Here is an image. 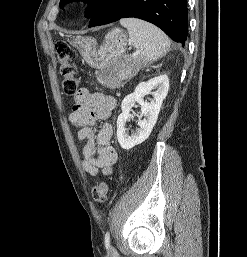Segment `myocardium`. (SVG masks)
I'll use <instances>...</instances> for the list:
<instances>
[{
    "mask_svg": "<svg viewBox=\"0 0 247 257\" xmlns=\"http://www.w3.org/2000/svg\"><path fill=\"white\" fill-rule=\"evenodd\" d=\"M88 5H89L88 2H83V3H81V7H82V8H87Z\"/></svg>",
    "mask_w": 247,
    "mask_h": 257,
    "instance_id": "myocardium-1",
    "label": "myocardium"
}]
</instances>
